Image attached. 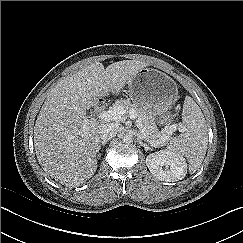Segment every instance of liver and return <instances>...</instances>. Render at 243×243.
I'll return each instance as SVG.
<instances>
[{
    "label": "liver",
    "mask_w": 243,
    "mask_h": 243,
    "mask_svg": "<svg viewBox=\"0 0 243 243\" xmlns=\"http://www.w3.org/2000/svg\"><path fill=\"white\" fill-rule=\"evenodd\" d=\"M148 65L123 60L105 69L95 62L49 90L34 126L35 153L44 171L68 187H78L94 175L100 128L108 121L89 119L87 109L110 92L118 94Z\"/></svg>",
    "instance_id": "1"
}]
</instances>
